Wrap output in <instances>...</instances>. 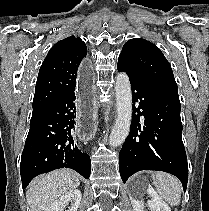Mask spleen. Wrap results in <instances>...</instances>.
I'll return each instance as SVG.
<instances>
[{
  "mask_svg": "<svg viewBox=\"0 0 209 211\" xmlns=\"http://www.w3.org/2000/svg\"><path fill=\"white\" fill-rule=\"evenodd\" d=\"M153 180L157 192L168 204L171 206L180 204L182 185L178 178L166 172H157Z\"/></svg>",
  "mask_w": 209,
  "mask_h": 211,
  "instance_id": "3e777b00",
  "label": "spleen"
}]
</instances>
